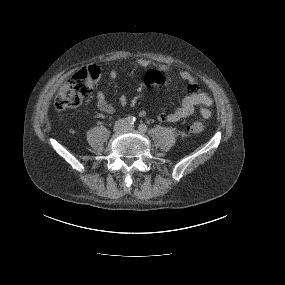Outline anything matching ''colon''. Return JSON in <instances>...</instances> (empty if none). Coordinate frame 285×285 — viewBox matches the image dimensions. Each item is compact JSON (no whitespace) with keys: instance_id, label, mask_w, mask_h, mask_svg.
<instances>
[{"instance_id":"1","label":"colon","mask_w":285,"mask_h":285,"mask_svg":"<svg viewBox=\"0 0 285 285\" xmlns=\"http://www.w3.org/2000/svg\"><path fill=\"white\" fill-rule=\"evenodd\" d=\"M99 77L100 68L97 65L82 67L60 88L54 100L56 109L66 110L79 106L90 95ZM203 129L200 122L187 126V131L191 134L200 133Z\"/></svg>"}]
</instances>
